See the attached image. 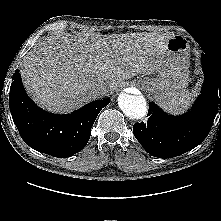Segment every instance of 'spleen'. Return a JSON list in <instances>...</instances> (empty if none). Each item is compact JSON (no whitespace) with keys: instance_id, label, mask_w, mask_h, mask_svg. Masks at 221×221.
Segmentation results:
<instances>
[{"instance_id":"3e777b00","label":"spleen","mask_w":221,"mask_h":221,"mask_svg":"<svg viewBox=\"0 0 221 221\" xmlns=\"http://www.w3.org/2000/svg\"><path fill=\"white\" fill-rule=\"evenodd\" d=\"M190 99L191 97H189V94H187L186 97L182 99L179 105H169L164 106V108L170 112L180 113L190 105Z\"/></svg>"}]
</instances>
